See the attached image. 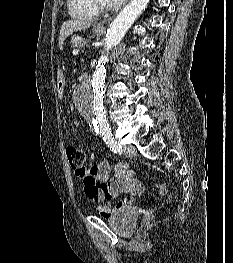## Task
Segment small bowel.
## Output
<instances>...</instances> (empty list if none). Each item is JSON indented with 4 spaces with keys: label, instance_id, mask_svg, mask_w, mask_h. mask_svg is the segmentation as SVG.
Masks as SVG:
<instances>
[{
    "label": "small bowel",
    "instance_id": "small-bowel-1",
    "mask_svg": "<svg viewBox=\"0 0 233 263\" xmlns=\"http://www.w3.org/2000/svg\"><path fill=\"white\" fill-rule=\"evenodd\" d=\"M119 166L122 169H119ZM88 168V174L79 176L83 180L84 192L94 203L102 217H109L118 209L131 208L135 196L142 192V184L136 172L126 163L116 166L115 174H111V167L107 160L93 164ZM124 195L117 203L116 208L111 207V201Z\"/></svg>",
    "mask_w": 233,
    "mask_h": 263
}]
</instances>
